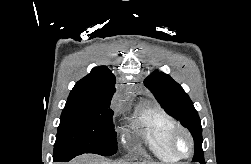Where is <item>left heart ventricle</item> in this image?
Wrapping results in <instances>:
<instances>
[{"label":"left heart ventricle","mask_w":251,"mask_h":164,"mask_svg":"<svg viewBox=\"0 0 251 164\" xmlns=\"http://www.w3.org/2000/svg\"><path fill=\"white\" fill-rule=\"evenodd\" d=\"M187 148H188V145H187V142L185 139H180L178 144H177V149L180 151V152H186L187 151Z\"/></svg>","instance_id":"b2bd125f"}]
</instances>
